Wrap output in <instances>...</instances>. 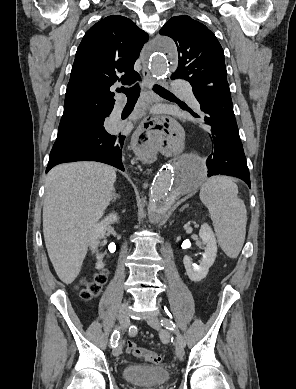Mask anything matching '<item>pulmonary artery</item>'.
Listing matches in <instances>:
<instances>
[{"mask_svg": "<svg viewBox=\"0 0 296 389\" xmlns=\"http://www.w3.org/2000/svg\"><path fill=\"white\" fill-rule=\"evenodd\" d=\"M174 87L175 89H177L178 91H180L184 97V99L191 105L193 106L194 108H199V103L197 101V99L195 98L191 88L184 84V83H181V82H176L174 84ZM121 110V107L118 106L116 107L115 109V114H118Z\"/></svg>", "mask_w": 296, "mask_h": 389, "instance_id": "e3ab8cb5", "label": "pulmonary artery"}]
</instances>
